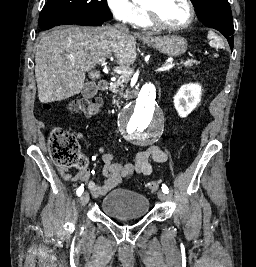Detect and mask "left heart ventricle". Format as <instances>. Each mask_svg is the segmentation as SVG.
Listing matches in <instances>:
<instances>
[{
	"instance_id": "obj_1",
	"label": "left heart ventricle",
	"mask_w": 256,
	"mask_h": 267,
	"mask_svg": "<svg viewBox=\"0 0 256 267\" xmlns=\"http://www.w3.org/2000/svg\"><path fill=\"white\" fill-rule=\"evenodd\" d=\"M148 4L152 9V21L143 22L144 26L180 25L188 19V8L179 0L149 1Z\"/></svg>"
}]
</instances>
